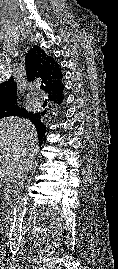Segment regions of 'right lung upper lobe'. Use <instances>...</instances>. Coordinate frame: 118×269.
I'll list each match as a JSON object with an SVG mask.
<instances>
[{
    "mask_svg": "<svg viewBox=\"0 0 118 269\" xmlns=\"http://www.w3.org/2000/svg\"><path fill=\"white\" fill-rule=\"evenodd\" d=\"M26 71L28 80H38L44 83V90L48 93L51 103L61 104L63 100L64 86L61 83L62 73L60 65L50 56L41 50L38 46H33L25 57ZM17 84L11 77L0 84V107L5 105L16 104L17 102ZM48 109L38 113H28L25 109L20 112L19 116L29 118L35 125L39 139L45 136L46 125L43 123Z\"/></svg>",
    "mask_w": 118,
    "mask_h": 269,
    "instance_id": "1",
    "label": "right lung upper lobe"
}]
</instances>
